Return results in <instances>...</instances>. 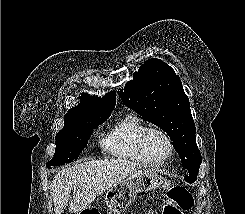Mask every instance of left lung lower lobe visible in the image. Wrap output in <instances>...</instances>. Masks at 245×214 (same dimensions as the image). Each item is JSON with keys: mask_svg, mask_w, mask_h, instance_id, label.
I'll list each match as a JSON object with an SVG mask.
<instances>
[{"mask_svg": "<svg viewBox=\"0 0 245 214\" xmlns=\"http://www.w3.org/2000/svg\"><path fill=\"white\" fill-rule=\"evenodd\" d=\"M196 179H197V174H190L189 176H187V177L185 178V180H186L187 182H189V183L195 182Z\"/></svg>", "mask_w": 245, "mask_h": 214, "instance_id": "left-lung-lower-lobe-1", "label": "left lung lower lobe"}]
</instances>
